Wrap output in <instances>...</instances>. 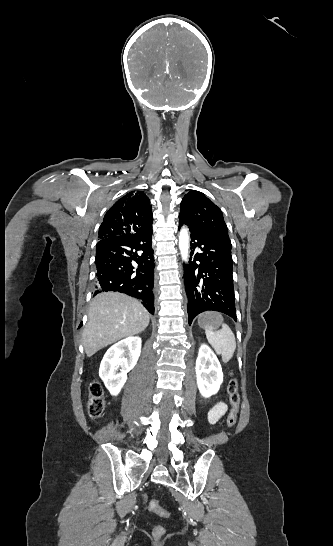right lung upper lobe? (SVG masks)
Here are the masks:
<instances>
[{
    "label": "right lung upper lobe",
    "instance_id": "1",
    "mask_svg": "<svg viewBox=\"0 0 333 546\" xmlns=\"http://www.w3.org/2000/svg\"><path fill=\"white\" fill-rule=\"evenodd\" d=\"M152 206L142 191H131L120 198L105 214L98 239L133 236L152 228Z\"/></svg>",
    "mask_w": 333,
    "mask_h": 546
}]
</instances>
